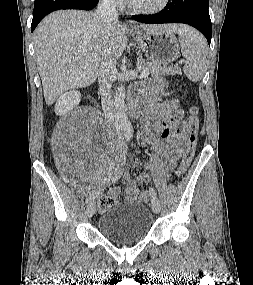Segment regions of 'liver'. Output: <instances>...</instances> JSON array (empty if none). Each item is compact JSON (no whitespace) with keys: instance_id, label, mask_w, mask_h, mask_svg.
<instances>
[{"instance_id":"obj_1","label":"liver","mask_w":253,"mask_h":285,"mask_svg":"<svg viewBox=\"0 0 253 285\" xmlns=\"http://www.w3.org/2000/svg\"><path fill=\"white\" fill-rule=\"evenodd\" d=\"M140 28L178 33L184 25L142 24ZM127 42L119 22L107 27L95 20V12L59 10L45 17L34 31V49L46 103L52 105L64 91L94 83L102 54L117 60Z\"/></svg>"}]
</instances>
